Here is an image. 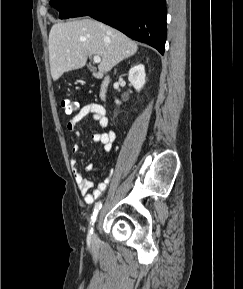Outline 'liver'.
I'll use <instances>...</instances> for the list:
<instances>
[{
	"label": "liver",
	"mask_w": 243,
	"mask_h": 289,
	"mask_svg": "<svg viewBox=\"0 0 243 289\" xmlns=\"http://www.w3.org/2000/svg\"><path fill=\"white\" fill-rule=\"evenodd\" d=\"M48 47L54 81L65 72L84 67L89 55L102 58L98 70L106 73L138 49L136 42L117 29L89 18L54 24Z\"/></svg>",
	"instance_id": "1"
}]
</instances>
